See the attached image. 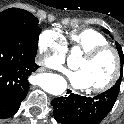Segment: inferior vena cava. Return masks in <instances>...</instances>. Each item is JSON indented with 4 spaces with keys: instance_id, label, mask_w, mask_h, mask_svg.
<instances>
[{
    "instance_id": "inferior-vena-cava-1",
    "label": "inferior vena cava",
    "mask_w": 124,
    "mask_h": 124,
    "mask_svg": "<svg viewBox=\"0 0 124 124\" xmlns=\"http://www.w3.org/2000/svg\"><path fill=\"white\" fill-rule=\"evenodd\" d=\"M37 62H38V63H40V62H41V59H40V58H38Z\"/></svg>"
}]
</instances>
